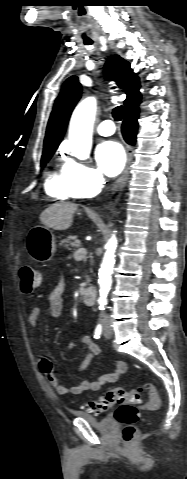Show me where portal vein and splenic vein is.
I'll use <instances>...</instances> for the list:
<instances>
[{"mask_svg": "<svg viewBox=\"0 0 187 479\" xmlns=\"http://www.w3.org/2000/svg\"><path fill=\"white\" fill-rule=\"evenodd\" d=\"M87 255V250L83 247H80L78 248L75 252H74V258L76 260H81L83 259L85 256Z\"/></svg>", "mask_w": 187, "mask_h": 479, "instance_id": "obj_1", "label": "portal vein and splenic vein"}]
</instances>
